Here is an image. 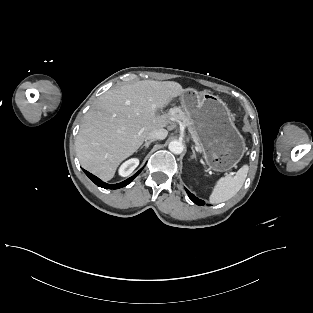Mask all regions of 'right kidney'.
I'll return each mask as SVG.
<instances>
[{"mask_svg": "<svg viewBox=\"0 0 313 313\" xmlns=\"http://www.w3.org/2000/svg\"><path fill=\"white\" fill-rule=\"evenodd\" d=\"M138 165H139V160L137 158H132V159L127 160L119 168V175L122 177L129 176Z\"/></svg>", "mask_w": 313, "mask_h": 313, "instance_id": "1", "label": "right kidney"}]
</instances>
